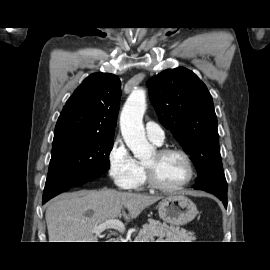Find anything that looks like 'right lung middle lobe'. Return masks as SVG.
I'll return each mask as SVG.
<instances>
[{"mask_svg": "<svg viewBox=\"0 0 270 270\" xmlns=\"http://www.w3.org/2000/svg\"><path fill=\"white\" fill-rule=\"evenodd\" d=\"M114 136L63 132L54 134L47 179L68 176L74 182L100 177L110 167L109 153ZM65 191L55 183L48 185L49 195Z\"/></svg>", "mask_w": 270, "mask_h": 270, "instance_id": "obj_1", "label": "right lung middle lobe"}]
</instances>
